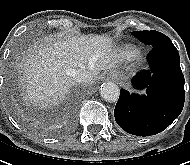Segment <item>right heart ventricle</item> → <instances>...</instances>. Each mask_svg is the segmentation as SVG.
I'll return each mask as SVG.
<instances>
[{"label": "right heart ventricle", "instance_id": "right-heart-ventricle-1", "mask_svg": "<svg viewBox=\"0 0 190 165\" xmlns=\"http://www.w3.org/2000/svg\"><path fill=\"white\" fill-rule=\"evenodd\" d=\"M136 53V49L131 45H123L119 50V55L123 59H129Z\"/></svg>", "mask_w": 190, "mask_h": 165}]
</instances>
